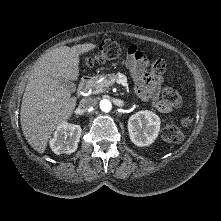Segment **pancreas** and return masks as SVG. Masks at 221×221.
Listing matches in <instances>:
<instances>
[{
	"mask_svg": "<svg viewBox=\"0 0 221 221\" xmlns=\"http://www.w3.org/2000/svg\"><path fill=\"white\" fill-rule=\"evenodd\" d=\"M99 79H103L101 82H97ZM118 79V76L114 73L107 74V75H100L92 79V82L90 84V89L93 94H98L100 92H104L107 90L110 86L113 85V83Z\"/></svg>",
	"mask_w": 221,
	"mask_h": 221,
	"instance_id": "pancreas-1",
	"label": "pancreas"
}]
</instances>
